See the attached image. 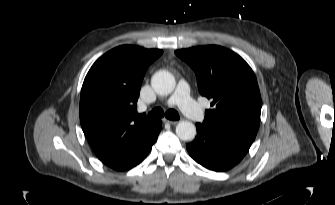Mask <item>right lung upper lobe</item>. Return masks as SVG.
Here are the masks:
<instances>
[{"instance_id":"1","label":"right lung upper lobe","mask_w":335,"mask_h":205,"mask_svg":"<svg viewBox=\"0 0 335 205\" xmlns=\"http://www.w3.org/2000/svg\"><path fill=\"white\" fill-rule=\"evenodd\" d=\"M162 53L119 46L101 56L87 73L80 96V123L99 159L131 155L161 130V120L137 114V101L148 66Z\"/></svg>"}]
</instances>
